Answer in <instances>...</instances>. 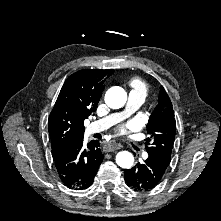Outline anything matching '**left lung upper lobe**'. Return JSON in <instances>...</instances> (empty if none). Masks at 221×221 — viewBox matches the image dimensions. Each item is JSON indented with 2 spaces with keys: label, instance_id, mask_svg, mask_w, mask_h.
Segmentation results:
<instances>
[{
  "label": "left lung upper lobe",
  "instance_id": "left-lung-upper-lobe-1",
  "mask_svg": "<svg viewBox=\"0 0 221 221\" xmlns=\"http://www.w3.org/2000/svg\"><path fill=\"white\" fill-rule=\"evenodd\" d=\"M147 131L146 151L170 160L175 139L176 121L171 100L163 86L159 92V103L152 112Z\"/></svg>",
  "mask_w": 221,
  "mask_h": 221
}]
</instances>
